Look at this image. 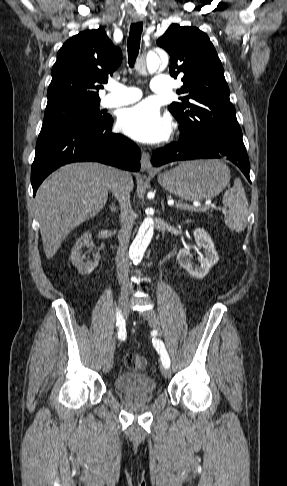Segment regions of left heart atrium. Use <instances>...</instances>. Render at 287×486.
<instances>
[{
	"label": "left heart atrium",
	"mask_w": 287,
	"mask_h": 486,
	"mask_svg": "<svg viewBox=\"0 0 287 486\" xmlns=\"http://www.w3.org/2000/svg\"><path fill=\"white\" fill-rule=\"evenodd\" d=\"M119 126L126 135L137 141L157 143L168 136L170 121L160 114L156 105L142 102L122 112Z\"/></svg>",
	"instance_id": "1"
}]
</instances>
